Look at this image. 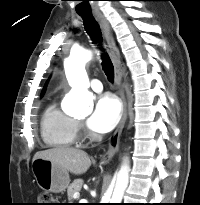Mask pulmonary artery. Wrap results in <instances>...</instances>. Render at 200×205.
<instances>
[{"instance_id": "1", "label": "pulmonary artery", "mask_w": 200, "mask_h": 205, "mask_svg": "<svg viewBox=\"0 0 200 205\" xmlns=\"http://www.w3.org/2000/svg\"><path fill=\"white\" fill-rule=\"evenodd\" d=\"M90 86H91L92 90L95 92H101L103 90L102 83L98 79H93L90 83Z\"/></svg>"}]
</instances>
